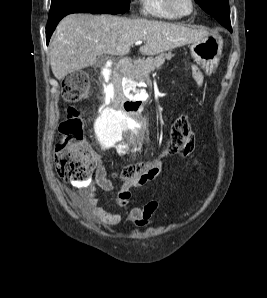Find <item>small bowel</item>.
Wrapping results in <instances>:
<instances>
[{
    "mask_svg": "<svg viewBox=\"0 0 267 298\" xmlns=\"http://www.w3.org/2000/svg\"><path fill=\"white\" fill-rule=\"evenodd\" d=\"M192 71L196 84L200 88H203L205 83L203 73L196 65H192ZM162 171L163 165L157 164L151 176L133 182H125L118 193L117 204L125 210L128 221L137 227H143L150 223L153 215L159 208V202L157 200H151L143 206H132L131 189L145 185L147 182L156 178ZM95 183L103 191L108 192L113 188L112 182L107 178L105 167L101 162L96 169ZM96 186L93 184L88 185L86 192L82 195L69 190L68 196L88 220L108 226L119 224L122 220L121 215L108 212L98 204Z\"/></svg>",
    "mask_w": 267,
    "mask_h": 298,
    "instance_id": "small-bowel-1",
    "label": "small bowel"
}]
</instances>
